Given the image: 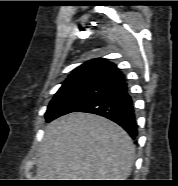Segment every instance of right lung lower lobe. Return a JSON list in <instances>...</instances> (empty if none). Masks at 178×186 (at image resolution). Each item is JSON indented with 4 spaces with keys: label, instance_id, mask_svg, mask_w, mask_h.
<instances>
[{
    "label": "right lung lower lobe",
    "instance_id": "obj_1",
    "mask_svg": "<svg viewBox=\"0 0 178 186\" xmlns=\"http://www.w3.org/2000/svg\"><path fill=\"white\" fill-rule=\"evenodd\" d=\"M76 111L106 117L124 128L133 139L137 136L135 110L125 80L111 85Z\"/></svg>",
    "mask_w": 178,
    "mask_h": 186
}]
</instances>
